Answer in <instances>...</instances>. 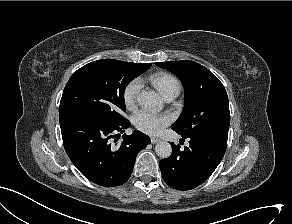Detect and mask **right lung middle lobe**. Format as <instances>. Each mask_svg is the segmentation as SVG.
Returning a JSON list of instances; mask_svg holds the SVG:
<instances>
[{
	"label": "right lung middle lobe",
	"instance_id": "dd1d6c3e",
	"mask_svg": "<svg viewBox=\"0 0 292 224\" xmlns=\"http://www.w3.org/2000/svg\"><path fill=\"white\" fill-rule=\"evenodd\" d=\"M142 72L133 63L103 59L78 69L65 86L59 114L76 111L109 126L126 121L124 91Z\"/></svg>",
	"mask_w": 292,
	"mask_h": 224
}]
</instances>
